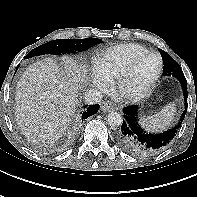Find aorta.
Instances as JSON below:
<instances>
[{
  "label": "aorta",
  "instance_id": "762f6f07",
  "mask_svg": "<svg viewBox=\"0 0 197 197\" xmlns=\"http://www.w3.org/2000/svg\"><path fill=\"white\" fill-rule=\"evenodd\" d=\"M107 122L111 127L116 128L122 125L123 119L120 113L112 111L107 116Z\"/></svg>",
  "mask_w": 197,
  "mask_h": 197
}]
</instances>
